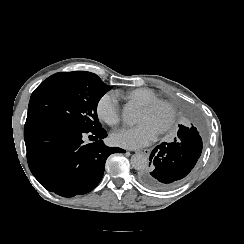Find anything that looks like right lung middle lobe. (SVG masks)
I'll return each instance as SVG.
<instances>
[{"mask_svg":"<svg viewBox=\"0 0 244 244\" xmlns=\"http://www.w3.org/2000/svg\"><path fill=\"white\" fill-rule=\"evenodd\" d=\"M112 86L86 71L56 73L32 93L27 120H48L85 132L101 128L97 104Z\"/></svg>","mask_w":244,"mask_h":244,"instance_id":"obj_1","label":"right lung middle lobe"}]
</instances>
